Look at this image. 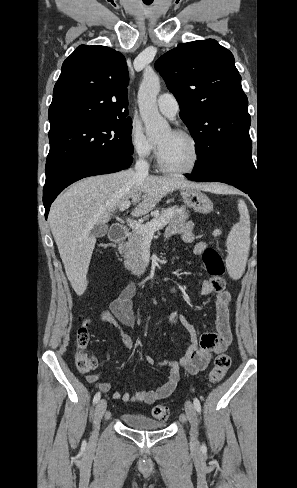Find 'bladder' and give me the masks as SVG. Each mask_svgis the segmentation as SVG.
<instances>
[{
  "instance_id": "obj_1",
  "label": "bladder",
  "mask_w": 297,
  "mask_h": 488,
  "mask_svg": "<svg viewBox=\"0 0 297 488\" xmlns=\"http://www.w3.org/2000/svg\"><path fill=\"white\" fill-rule=\"evenodd\" d=\"M120 419L127 427L135 430L155 431L166 426L164 422L142 414L123 413Z\"/></svg>"
}]
</instances>
